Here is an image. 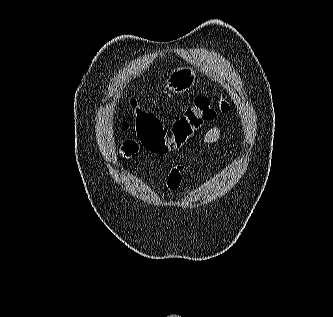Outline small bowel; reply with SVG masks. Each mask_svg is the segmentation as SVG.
Returning a JSON list of instances; mask_svg holds the SVG:
<instances>
[{"label": "small bowel", "instance_id": "obj_1", "mask_svg": "<svg viewBox=\"0 0 333 317\" xmlns=\"http://www.w3.org/2000/svg\"><path fill=\"white\" fill-rule=\"evenodd\" d=\"M222 136V126L215 125L209 128L201 138L204 145H211L217 143ZM139 142L135 139L127 140L120 147V157L122 160H128L132 155L139 151ZM188 185L186 178V167L183 164H175L167 170V177L165 181L166 189L170 193H175L182 185Z\"/></svg>", "mask_w": 333, "mask_h": 317}]
</instances>
